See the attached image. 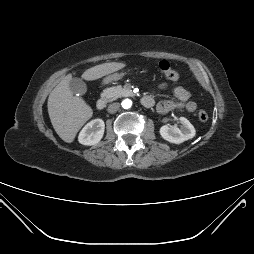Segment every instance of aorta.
<instances>
[{"mask_svg": "<svg viewBox=\"0 0 254 254\" xmlns=\"http://www.w3.org/2000/svg\"><path fill=\"white\" fill-rule=\"evenodd\" d=\"M132 106V101L130 99H125L122 101V107L124 109H129Z\"/></svg>", "mask_w": 254, "mask_h": 254, "instance_id": "obj_1", "label": "aorta"}]
</instances>
